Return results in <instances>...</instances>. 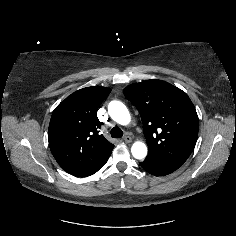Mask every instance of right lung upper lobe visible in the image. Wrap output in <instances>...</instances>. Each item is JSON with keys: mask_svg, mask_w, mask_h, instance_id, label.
Listing matches in <instances>:
<instances>
[{"mask_svg": "<svg viewBox=\"0 0 236 236\" xmlns=\"http://www.w3.org/2000/svg\"><path fill=\"white\" fill-rule=\"evenodd\" d=\"M109 88L87 87L69 95L53 111L48 141L57 163L68 173L86 177L107 159L114 145L99 134L97 109Z\"/></svg>", "mask_w": 236, "mask_h": 236, "instance_id": "cb5924a9", "label": "right lung upper lobe"}]
</instances>
